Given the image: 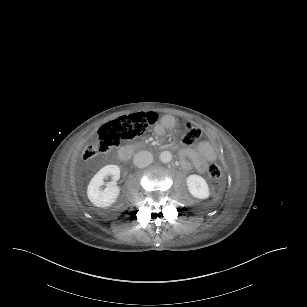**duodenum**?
<instances>
[{
  "label": "duodenum",
  "mask_w": 307,
  "mask_h": 307,
  "mask_svg": "<svg viewBox=\"0 0 307 307\" xmlns=\"http://www.w3.org/2000/svg\"><path fill=\"white\" fill-rule=\"evenodd\" d=\"M142 144L141 142H131L129 144H126L116 152V157L120 161H126L131 154L136 148L141 147Z\"/></svg>",
  "instance_id": "obj_1"
}]
</instances>
